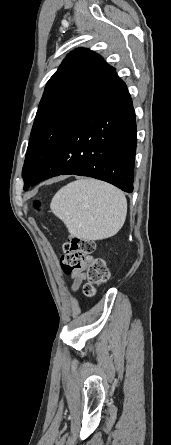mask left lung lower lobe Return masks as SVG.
I'll return each mask as SVG.
<instances>
[{
	"mask_svg": "<svg viewBox=\"0 0 171 445\" xmlns=\"http://www.w3.org/2000/svg\"><path fill=\"white\" fill-rule=\"evenodd\" d=\"M135 112L125 83L89 109L65 134L24 189L58 175L100 179L133 191Z\"/></svg>",
	"mask_w": 171,
	"mask_h": 445,
	"instance_id": "0a47b994",
	"label": "left lung lower lobe"
}]
</instances>
